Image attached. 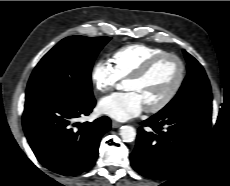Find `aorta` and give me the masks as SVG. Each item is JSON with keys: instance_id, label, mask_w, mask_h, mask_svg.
Instances as JSON below:
<instances>
[{"instance_id": "aorta-1", "label": "aorta", "mask_w": 230, "mask_h": 186, "mask_svg": "<svg viewBox=\"0 0 230 186\" xmlns=\"http://www.w3.org/2000/svg\"><path fill=\"white\" fill-rule=\"evenodd\" d=\"M120 135L124 142H132L136 138V130L132 126L125 125L121 127Z\"/></svg>"}]
</instances>
